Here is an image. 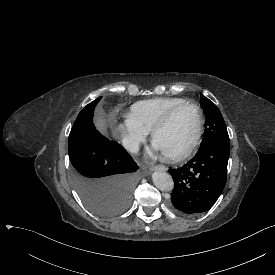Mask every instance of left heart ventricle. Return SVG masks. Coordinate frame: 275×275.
Here are the masks:
<instances>
[{
	"mask_svg": "<svg viewBox=\"0 0 275 275\" xmlns=\"http://www.w3.org/2000/svg\"><path fill=\"white\" fill-rule=\"evenodd\" d=\"M195 124L194 110L189 106L182 107L175 113L169 126L156 135L153 147L160 153L170 154L176 152L191 139Z\"/></svg>",
	"mask_w": 275,
	"mask_h": 275,
	"instance_id": "obj_1",
	"label": "left heart ventricle"
}]
</instances>
